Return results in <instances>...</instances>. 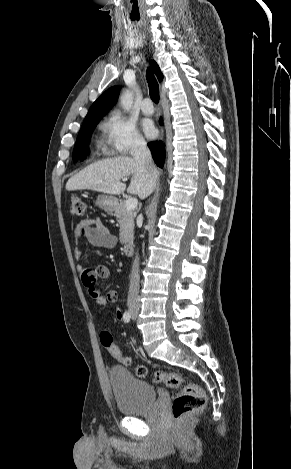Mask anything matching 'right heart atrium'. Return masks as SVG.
Wrapping results in <instances>:
<instances>
[{
	"label": "right heart atrium",
	"mask_w": 291,
	"mask_h": 469,
	"mask_svg": "<svg viewBox=\"0 0 291 469\" xmlns=\"http://www.w3.org/2000/svg\"><path fill=\"white\" fill-rule=\"evenodd\" d=\"M106 149L112 154L125 155L145 146L135 124L118 111L111 112L103 123Z\"/></svg>",
	"instance_id": "1"
}]
</instances>
